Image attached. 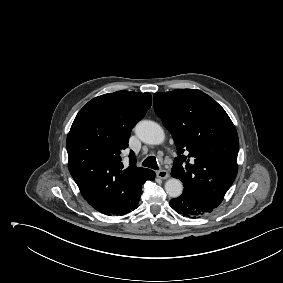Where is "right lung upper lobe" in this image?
<instances>
[{"instance_id": "1", "label": "right lung upper lobe", "mask_w": 283, "mask_h": 283, "mask_svg": "<svg viewBox=\"0 0 283 283\" xmlns=\"http://www.w3.org/2000/svg\"><path fill=\"white\" fill-rule=\"evenodd\" d=\"M149 93L117 91L89 101L67 136L68 168L86 201L105 214L130 212L152 170L121 162L132 128L151 107Z\"/></svg>"}]
</instances>
